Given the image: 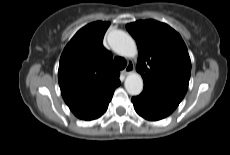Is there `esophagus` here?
I'll return each mask as SVG.
<instances>
[{
    "instance_id": "obj_1",
    "label": "esophagus",
    "mask_w": 230,
    "mask_h": 155,
    "mask_svg": "<svg viewBox=\"0 0 230 155\" xmlns=\"http://www.w3.org/2000/svg\"><path fill=\"white\" fill-rule=\"evenodd\" d=\"M133 70H134V64H133V62L129 61L126 68L123 70V73L125 75H127V74L131 73Z\"/></svg>"
}]
</instances>
